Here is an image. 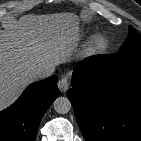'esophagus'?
Here are the masks:
<instances>
[{
  "label": "esophagus",
  "instance_id": "1",
  "mask_svg": "<svg viewBox=\"0 0 141 141\" xmlns=\"http://www.w3.org/2000/svg\"><path fill=\"white\" fill-rule=\"evenodd\" d=\"M58 88H59L61 93H65L68 90V88H69L68 76H63L58 81Z\"/></svg>",
  "mask_w": 141,
  "mask_h": 141
}]
</instances>
